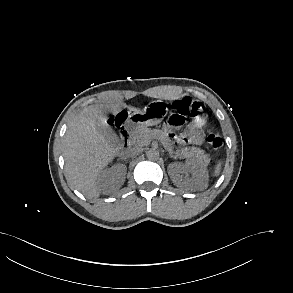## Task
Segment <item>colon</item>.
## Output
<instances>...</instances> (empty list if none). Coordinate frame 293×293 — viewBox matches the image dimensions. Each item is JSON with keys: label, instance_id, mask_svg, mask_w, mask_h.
Here are the masks:
<instances>
[{"label": "colon", "instance_id": "1", "mask_svg": "<svg viewBox=\"0 0 293 293\" xmlns=\"http://www.w3.org/2000/svg\"><path fill=\"white\" fill-rule=\"evenodd\" d=\"M173 113L167 118L165 122V129L175 136V131L180 128L187 118L202 117L205 111L204 105L200 101L192 100L190 97H183L175 100L172 103ZM121 115L116 117L115 121L119 122ZM182 139L183 136H176ZM207 142L210 147L219 152L222 148V138L217 133H209L207 135Z\"/></svg>", "mask_w": 293, "mask_h": 293}]
</instances>
